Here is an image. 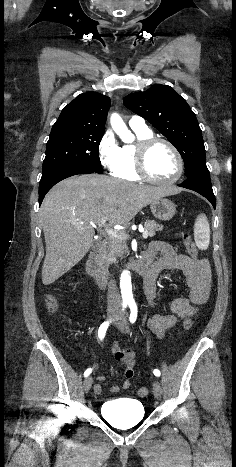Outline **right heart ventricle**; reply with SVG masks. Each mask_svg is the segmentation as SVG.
<instances>
[{
	"mask_svg": "<svg viewBox=\"0 0 236 467\" xmlns=\"http://www.w3.org/2000/svg\"><path fill=\"white\" fill-rule=\"evenodd\" d=\"M137 136V142L134 144H126L120 149V160L117 167L112 171L113 176L127 180L139 181L141 177L136 172L135 167V148L137 143L144 138L153 136L149 128L139 129L132 128Z\"/></svg>",
	"mask_w": 236,
	"mask_h": 467,
	"instance_id": "e07e8e85",
	"label": "right heart ventricle"
}]
</instances>
